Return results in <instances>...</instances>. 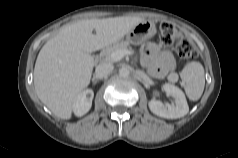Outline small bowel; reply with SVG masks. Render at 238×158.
<instances>
[{"instance_id":"small-bowel-1","label":"small bowel","mask_w":238,"mask_h":158,"mask_svg":"<svg viewBox=\"0 0 238 158\" xmlns=\"http://www.w3.org/2000/svg\"><path fill=\"white\" fill-rule=\"evenodd\" d=\"M142 61L155 78H164L175 70V60L168 50H161L155 43L148 42L142 48Z\"/></svg>"}]
</instances>
